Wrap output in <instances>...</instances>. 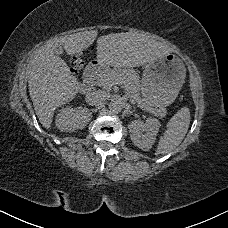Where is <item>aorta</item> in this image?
Returning <instances> with one entry per match:
<instances>
[{
  "instance_id": "762f6f07",
  "label": "aorta",
  "mask_w": 228,
  "mask_h": 228,
  "mask_svg": "<svg viewBox=\"0 0 228 228\" xmlns=\"http://www.w3.org/2000/svg\"><path fill=\"white\" fill-rule=\"evenodd\" d=\"M109 110L111 113H119L122 110V104L119 101L112 100L109 104Z\"/></svg>"
}]
</instances>
